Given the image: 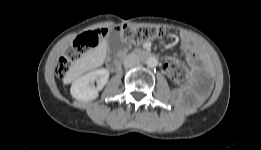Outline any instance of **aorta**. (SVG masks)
I'll list each match as a JSON object with an SVG mask.
<instances>
[{
	"instance_id": "obj_1",
	"label": "aorta",
	"mask_w": 261,
	"mask_h": 150,
	"mask_svg": "<svg viewBox=\"0 0 261 150\" xmlns=\"http://www.w3.org/2000/svg\"><path fill=\"white\" fill-rule=\"evenodd\" d=\"M146 64H147L148 67L154 68V67H156V66L158 65V60H157L156 57L151 56V57H149V58L146 60Z\"/></svg>"
}]
</instances>
